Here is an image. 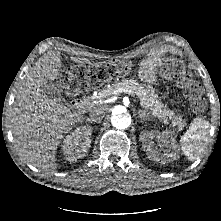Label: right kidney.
I'll use <instances>...</instances> for the list:
<instances>
[{"instance_id": "right-kidney-1", "label": "right kidney", "mask_w": 221, "mask_h": 221, "mask_svg": "<svg viewBox=\"0 0 221 221\" xmlns=\"http://www.w3.org/2000/svg\"><path fill=\"white\" fill-rule=\"evenodd\" d=\"M91 134L89 126H81L65 137L62 150L66 160L76 161L86 155L91 145Z\"/></svg>"}]
</instances>
